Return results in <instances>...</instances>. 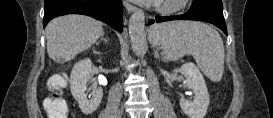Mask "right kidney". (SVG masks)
<instances>
[{
  "label": "right kidney",
  "mask_w": 273,
  "mask_h": 118,
  "mask_svg": "<svg viewBox=\"0 0 273 118\" xmlns=\"http://www.w3.org/2000/svg\"><path fill=\"white\" fill-rule=\"evenodd\" d=\"M92 62L89 58L77 62L70 75V89L73 97L77 100L81 111L91 114L99 107L103 90L98 88L91 96L86 93V84L91 79Z\"/></svg>",
  "instance_id": "ca27d5eb"
}]
</instances>
